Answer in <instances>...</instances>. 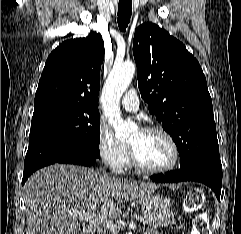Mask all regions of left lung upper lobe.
I'll return each mask as SVG.
<instances>
[{
    "mask_svg": "<svg viewBox=\"0 0 241 234\" xmlns=\"http://www.w3.org/2000/svg\"><path fill=\"white\" fill-rule=\"evenodd\" d=\"M133 54L141 96L176 143L180 168L221 165L212 100L196 58L151 22L135 30Z\"/></svg>",
    "mask_w": 241,
    "mask_h": 234,
    "instance_id": "obj_1",
    "label": "left lung upper lobe"
}]
</instances>
